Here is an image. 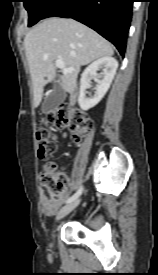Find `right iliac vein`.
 Listing matches in <instances>:
<instances>
[{"mask_svg": "<svg viewBox=\"0 0 158 275\" xmlns=\"http://www.w3.org/2000/svg\"><path fill=\"white\" fill-rule=\"evenodd\" d=\"M79 202H80V200L77 199V200H74V201L70 202L69 204L65 205L64 207H62L56 216V220L58 221L61 218L68 215L71 211H73L79 205Z\"/></svg>", "mask_w": 158, "mask_h": 275, "instance_id": "1", "label": "right iliac vein"}]
</instances>
